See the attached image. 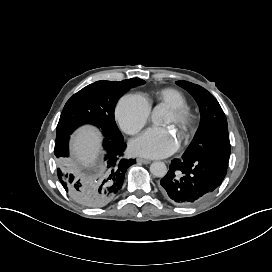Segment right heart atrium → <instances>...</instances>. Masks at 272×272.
Listing matches in <instances>:
<instances>
[{
    "label": "right heart atrium",
    "instance_id": "d8ad5b80",
    "mask_svg": "<svg viewBox=\"0 0 272 272\" xmlns=\"http://www.w3.org/2000/svg\"><path fill=\"white\" fill-rule=\"evenodd\" d=\"M151 106L141 94H127L119 102L116 110L117 119L122 129L136 135L150 118Z\"/></svg>",
    "mask_w": 272,
    "mask_h": 272
}]
</instances>
